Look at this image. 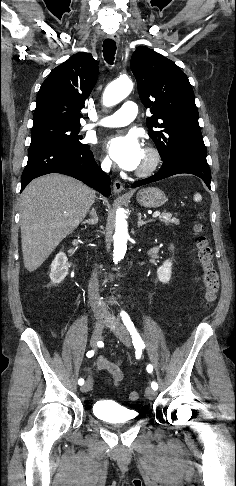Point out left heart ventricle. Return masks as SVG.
Masks as SVG:
<instances>
[{"instance_id":"left-heart-ventricle-1","label":"left heart ventricle","mask_w":236,"mask_h":486,"mask_svg":"<svg viewBox=\"0 0 236 486\" xmlns=\"http://www.w3.org/2000/svg\"><path fill=\"white\" fill-rule=\"evenodd\" d=\"M146 161H147V158H146V155H145V153H144V155H143V158H142V161H141V164H140L139 168H140V167H142V166H144V165L146 164Z\"/></svg>"}]
</instances>
